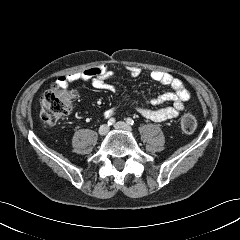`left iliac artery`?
Listing matches in <instances>:
<instances>
[{"mask_svg":"<svg viewBox=\"0 0 240 240\" xmlns=\"http://www.w3.org/2000/svg\"><path fill=\"white\" fill-rule=\"evenodd\" d=\"M129 125H134V121L131 118H127L126 121Z\"/></svg>","mask_w":240,"mask_h":240,"instance_id":"left-iliac-artery-1","label":"left iliac artery"}]
</instances>
